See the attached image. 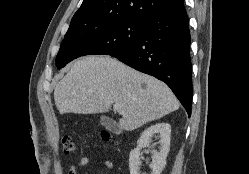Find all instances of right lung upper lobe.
<instances>
[{
	"label": "right lung upper lobe",
	"instance_id": "obj_1",
	"mask_svg": "<svg viewBox=\"0 0 249 174\" xmlns=\"http://www.w3.org/2000/svg\"><path fill=\"white\" fill-rule=\"evenodd\" d=\"M184 10L183 0H84L68 31L102 25L120 19L148 20Z\"/></svg>",
	"mask_w": 249,
	"mask_h": 174
}]
</instances>
